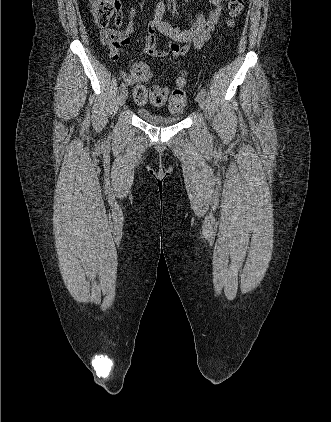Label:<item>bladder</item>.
I'll return each mask as SVG.
<instances>
[{
  "instance_id": "1",
  "label": "bladder",
  "mask_w": 331,
  "mask_h": 422,
  "mask_svg": "<svg viewBox=\"0 0 331 422\" xmlns=\"http://www.w3.org/2000/svg\"><path fill=\"white\" fill-rule=\"evenodd\" d=\"M137 114L145 122L155 126L173 125L181 120L179 115H164L145 108L137 109Z\"/></svg>"
}]
</instances>
